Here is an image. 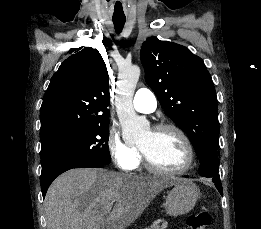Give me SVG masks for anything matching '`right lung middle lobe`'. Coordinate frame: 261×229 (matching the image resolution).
Instances as JSON below:
<instances>
[{"label":"right lung middle lobe","instance_id":"obj_1","mask_svg":"<svg viewBox=\"0 0 261 229\" xmlns=\"http://www.w3.org/2000/svg\"><path fill=\"white\" fill-rule=\"evenodd\" d=\"M108 139L109 122H104L91 126L71 140L41 149L42 173L53 168L87 163L109 164Z\"/></svg>","mask_w":261,"mask_h":229}]
</instances>
